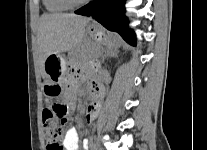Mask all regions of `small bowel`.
I'll return each instance as SVG.
<instances>
[{
	"label": "small bowel",
	"mask_w": 207,
	"mask_h": 150,
	"mask_svg": "<svg viewBox=\"0 0 207 150\" xmlns=\"http://www.w3.org/2000/svg\"><path fill=\"white\" fill-rule=\"evenodd\" d=\"M79 90L78 79H71L69 81V90L66 96L67 107L74 109L76 107V98ZM101 96V89L97 92L96 100L92 101L88 106L87 121L91 122L100 106L99 98ZM64 150H78L79 136L75 128L70 127L66 130L62 139ZM82 150H91V140H81Z\"/></svg>",
	"instance_id": "obj_1"
}]
</instances>
